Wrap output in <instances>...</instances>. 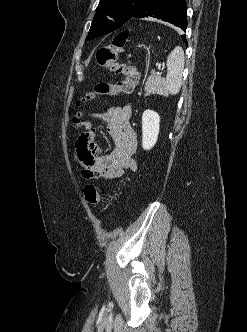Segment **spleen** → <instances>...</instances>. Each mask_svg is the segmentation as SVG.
<instances>
[{
  "mask_svg": "<svg viewBox=\"0 0 247 332\" xmlns=\"http://www.w3.org/2000/svg\"><path fill=\"white\" fill-rule=\"evenodd\" d=\"M184 61L183 49L180 46L175 47L166 61L167 76L166 81L158 89L160 95L167 96L168 94L176 95L179 93L182 86Z\"/></svg>",
  "mask_w": 247,
  "mask_h": 332,
  "instance_id": "1",
  "label": "spleen"
}]
</instances>
